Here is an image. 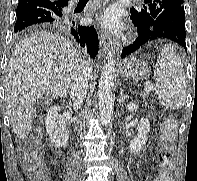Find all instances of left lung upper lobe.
Masks as SVG:
<instances>
[{
	"label": "left lung upper lobe",
	"instance_id": "5c2ea615",
	"mask_svg": "<svg viewBox=\"0 0 197 181\" xmlns=\"http://www.w3.org/2000/svg\"><path fill=\"white\" fill-rule=\"evenodd\" d=\"M144 3L145 5L130 9L131 20L142 26H149L158 14L167 8L183 6V0H145Z\"/></svg>",
	"mask_w": 197,
	"mask_h": 181
}]
</instances>
